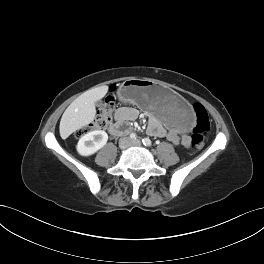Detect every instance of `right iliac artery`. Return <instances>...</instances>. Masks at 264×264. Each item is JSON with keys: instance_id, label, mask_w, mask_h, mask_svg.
Segmentation results:
<instances>
[{"instance_id": "1", "label": "right iliac artery", "mask_w": 264, "mask_h": 264, "mask_svg": "<svg viewBox=\"0 0 264 264\" xmlns=\"http://www.w3.org/2000/svg\"><path fill=\"white\" fill-rule=\"evenodd\" d=\"M136 138H137V135L135 133L130 134V139L136 140Z\"/></svg>"}]
</instances>
